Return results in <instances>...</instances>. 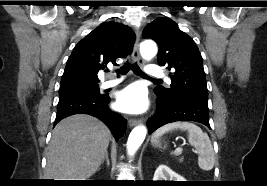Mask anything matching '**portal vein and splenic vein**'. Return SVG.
<instances>
[{
	"instance_id": "18ae733b",
	"label": "portal vein and splenic vein",
	"mask_w": 267,
	"mask_h": 186,
	"mask_svg": "<svg viewBox=\"0 0 267 186\" xmlns=\"http://www.w3.org/2000/svg\"><path fill=\"white\" fill-rule=\"evenodd\" d=\"M181 151H182V149L180 147H178L175 149V154L178 155L181 153Z\"/></svg>"
}]
</instances>
